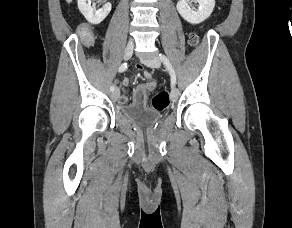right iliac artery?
<instances>
[{
    "instance_id": "82829eb1",
    "label": "right iliac artery",
    "mask_w": 292,
    "mask_h": 228,
    "mask_svg": "<svg viewBox=\"0 0 292 228\" xmlns=\"http://www.w3.org/2000/svg\"><path fill=\"white\" fill-rule=\"evenodd\" d=\"M127 67H128L127 63H123V64L120 65L118 71H119V72H124V71L127 69ZM114 90H115V86L112 85V86L110 87V91L113 92Z\"/></svg>"
}]
</instances>
